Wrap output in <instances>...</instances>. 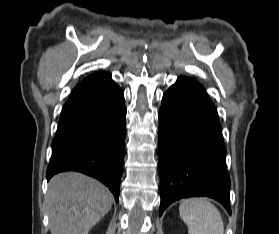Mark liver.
I'll return each instance as SVG.
<instances>
[{"label":"liver","instance_id":"6515ba94","mask_svg":"<svg viewBox=\"0 0 279 234\" xmlns=\"http://www.w3.org/2000/svg\"><path fill=\"white\" fill-rule=\"evenodd\" d=\"M113 200L104 185L81 173L54 176L47 192L51 234H88L111 209Z\"/></svg>","mask_w":279,"mask_h":234}]
</instances>
